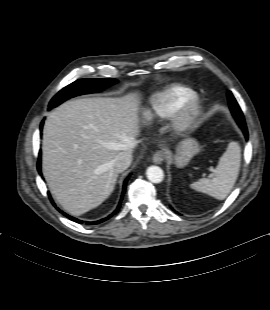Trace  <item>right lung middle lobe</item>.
<instances>
[{
    "instance_id": "obj_1",
    "label": "right lung middle lobe",
    "mask_w": 270,
    "mask_h": 310,
    "mask_svg": "<svg viewBox=\"0 0 270 310\" xmlns=\"http://www.w3.org/2000/svg\"><path fill=\"white\" fill-rule=\"evenodd\" d=\"M116 79H81L63 88L50 101L49 107L54 108L63 101L77 95L102 91L115 84Z\"/></svg>"
}]
</instances>
